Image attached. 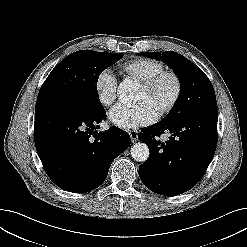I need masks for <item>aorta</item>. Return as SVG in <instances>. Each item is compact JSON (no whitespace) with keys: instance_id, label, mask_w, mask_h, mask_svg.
Returning <instances> with one entry per match:
<instances>
[{"instance_id":"aorta-1","label":"aorta","mask_w":247,"mask_h":247,"mask_svg":"<svg viewBox=\"0 0 247 247\" xmlns=\"http://www.w3.org/2000/svg\"><path fill=\"white\" fill-rule=\"evenodd\" d=\"M119 100L126 104L133 101L136 97V87L126 82L120 83L117 90ZM131 156L137 162H145L149 158V148L143 142L135 143L131 147Z\"/></svg>"}]
</instances>
